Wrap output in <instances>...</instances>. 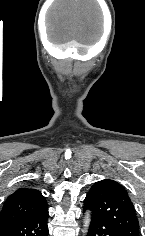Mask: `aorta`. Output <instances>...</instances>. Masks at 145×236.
I'll return each mask as SVG.
<instances>
[{"label":"aorta","mask_w":145,"mask_h":236,"mask_svg":"<svg viewBox=\"0 0 145 236\" xmlns=\"http://www.w3.org/2000/svg\"><path fill=\"white\" fill-rule=\"evenodd\" d=\"M90 221H91L90 214L87 213L83 220V234H87L90 226Z\"/></svg>","instance_id":"obj_1"}]
</instances>
